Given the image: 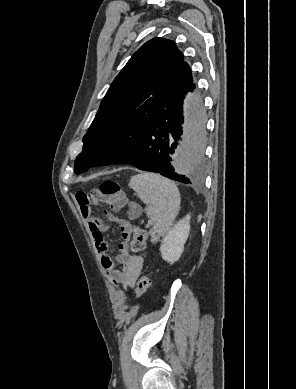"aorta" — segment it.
Instances as JSON below:
<instances>
[{"label": "aorta", "mask_w": 296, "mask_h": 389, "mask_svg": "<svg viewBox=\"0 0 296 389\" xmlns=\"http://www.w3.org/2000/svg\"><path fill=\"white\" fill-rule=\"evenodd\" d=\"M184 132L180 146L175 152L173 166L177 173L191 172L198 162H204L206 153L203 148L204 134L199 129L202 116L201 91H186L184 95ZM191 130H187L189 125Z\"/></svg>", "instance_id": "762f6f07"}]
</instances>
